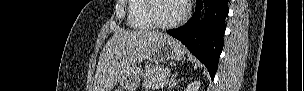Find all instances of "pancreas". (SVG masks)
<instances>
[{"instance_id": "cf45deb5", "label": "pancreas", "mask_w": 304, "mask_h": 91, "mask_svg": "<svg viewBox=\"0 0 304 91\" xmlns=\"http://www.w3.org/2000/svg\"><path fill=\"white\" fill-rule=\"evenodd\" d=\"M168 68H164L162 66H153L147 68L143 74V87L150 89L161 84L168 73Z\"/></svg>"}]
</instances>
